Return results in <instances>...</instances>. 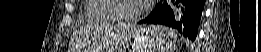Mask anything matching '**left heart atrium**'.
I'll list each match as a JSON object with an SVG mask.
<instances>
[{"mask_svg": "<svg viewBox=\"0 0 261 52\" xmlns=\"http://www.w3.org/2000/svg\"><path fill=\"white\" fill-rule=\"evenodd\" d=\"M143 2H152L151 0H143Z\"/></svg>", "mask_w": 261, "mask_h": 52, "instance_id": "1", "label": "left heart atrium"}]
</instances>
